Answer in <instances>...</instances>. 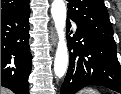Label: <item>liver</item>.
Segmentation results:
<instances>
[{
    "mask_svg": "<svg viewBox=\"0 0 121 94\" xmlns=\"http://www.w3.org/2000/svg\"><path fill=\"white\" fill-rule=\"evenodd\" d=\"M1 94H12V92L6 88L1 87Z\"/></svg>",
    "mask_w": 121,
    "mask_h": 94,
    "instance_id": "obj_1",
    "label": "liver"
}]
</instances>
